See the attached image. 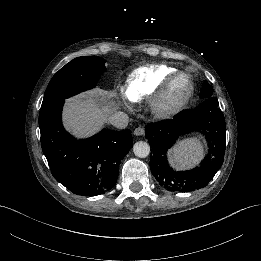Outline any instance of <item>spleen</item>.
Segmentation results:
<instances>
[{"instance_id": "obj_1", "label": "spleen", "mask_w": 261, "mask_h": 261, "mask_svg": "<svg viewBox=\"0 0 261 261\" xmlns=\"http://www.w3.org/2000/svg\"><path fill=\"white\" fill-rule=\"evenodd\" d=\"M201 155V145L195 140L190 139L183 142L178 149L171 154V158L175 164L187 166L197 161Z\"/></svg>"}]
</instances>
